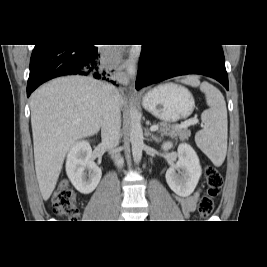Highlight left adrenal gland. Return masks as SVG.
<instances>
[{"label":"left adrenal gland","mask_w":267,"mask_h":267,"mask_svg":"<svg viewBox=\"0 0 267 267\" xmlns=\"http://www.w3.org/2000/svg\"><path fill=\"white\" fill-rule=\"evenodd\" d=\"M146 136H147V137H150V140H151V141L154 140V141L157 142V143L160 142V138L157 137V136L154 135V134H151L149 131L146 132Z\"/></svg>","instance_id":"a2214340"}]
</instances>
